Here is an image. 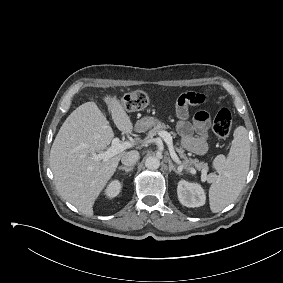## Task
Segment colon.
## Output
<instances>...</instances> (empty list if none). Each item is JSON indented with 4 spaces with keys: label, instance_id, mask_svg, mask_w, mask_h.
Returning <instances> with one entry per match:
<instances>
[{
    "label": "colon",
    "instance_id": "1",
    "mask_svg": "<svg viewBox=\"0 0 283 283\" xmlns=\"http://www.w3.org/2000/svg\"><path fill=\"white\" fill-rule=\"evenodd\" d=\"M206 97L211 94V90L200 92ZM121 103L128 111H139L144 109L149 103V96L142 90H135L126 94ZM214 133L222 138L230 134L232 128V114L227 108H222L218 111L213 122Z\"/></svg>",
    "mask_w": 283,
    "mask_h": 283
}]
</instances>
